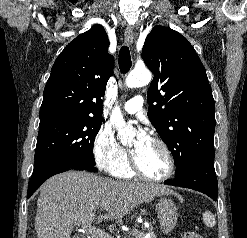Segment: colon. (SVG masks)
Listing matches in <instances>:
<instances>
[{
  "label": "colon",
  "mask_w": 247,
  "mask_h": 238,
  "mask_svg": "<svg viewBox=\"0 0 247 238\" xmlns=\"http://www.w3.org/2000/svg\"><path fill=\"white\" fill-rule=\"evenodd\" d=\"M181 238H203V237L198 233L192 231H185L181 234Z\"/></svg>",
  "instance_id": "obj_1"
}]
</instances>
